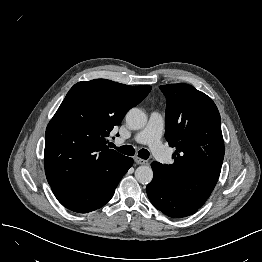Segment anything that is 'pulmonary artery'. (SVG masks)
Masks as SVG:
<instances>
[{
    "label": "pulmonary artery",
    "instance_id": "pulmonary-artery-1",
    "mask_svg": "<svg viewBox=\"0 0 262 262\" xmlns=\"http://www.w3.org/2000/svg\"><path fill=\"white\" fill-rule=\"evenodd\" d=\"M164 128V118L159 112H152L145 128L139 131L133 141L138 144H146L151 148L152 153L156 158L164 163L171 161L170 155L167 153L165 146L162 143V132ZM124 140L119 139L122 143Z\"/></svg>",
    "mask_w": 262,
    "mask_h": 262
}]
</instances>
